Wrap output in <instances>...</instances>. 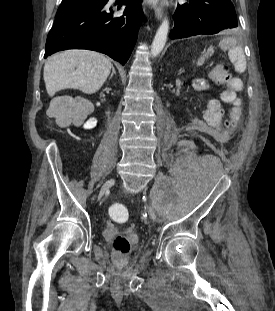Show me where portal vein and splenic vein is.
Segmentation results:
<instances>
[{
  "mask_svg": "<svg viewBox=\"0 0 275 311\" xmlns=\"http://www.w3.org/2000/svg\"><path fill=\"white\" fill-rule=\"evenodd\" d=\"M213 53V50L210 49L207 51V53L199 60L198 64L201 65L204 62V58L208 57L209 55H211Z\"/></svg>",
  "mask_w": 275,
  "mask_h": 311,
  "instance_id": "obj_1",
  "label": "portal vein and splenic vein"
}]
</instances>
